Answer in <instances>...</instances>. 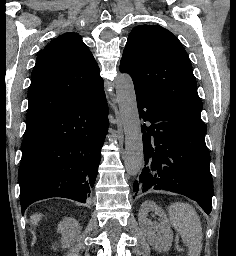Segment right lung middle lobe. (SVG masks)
Returning <instances> with one entry per match:
<instances>
[{"mask_svg":"<svg viewBox=\"0 0 236 256\" xmlns=\"http://www.w3.org/2000/svg\"><path fill=\"white\" fill-rule=\"evenodd\" d=\"M34 124H26V129L32 127Z\"/></svg>","mask_w":236,"mask_h":256,"instance_id":"1","label":"right lung middle lobe"}]
</instances>
